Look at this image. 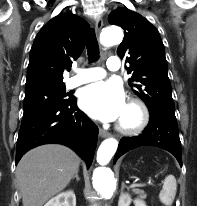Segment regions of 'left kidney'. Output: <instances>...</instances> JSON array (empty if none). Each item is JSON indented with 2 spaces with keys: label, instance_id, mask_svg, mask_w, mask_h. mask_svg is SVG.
<instances>
[{
  "label": "left kidney",
  "instance_id": "5707ae66",
  "mask_svg": "<svg viewBox=\"0 0 197 206\" xmlns=\"http://www.w3.org/2000/svg\"><path fill=\"white\" fill-rule=\"evenodd\" d=\"M132 199L128 193H121L118 201V206H129ZM135 206H146L145 202L142 199H135L134 200Z\"/></svg>",
  "mask_w": 197,
  "mask_h": 206
}]
</instances>
